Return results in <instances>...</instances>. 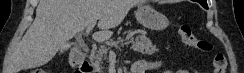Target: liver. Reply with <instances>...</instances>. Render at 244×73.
<instances>
[{
  "label": "liver",
  "mask_w": 244,
  "mask_h": 73,
  "mask_svg": "<svg viewBox=\"0 0 244 73\" xmlns=\"http://www.w3.org/2000/svg\"><path fill=\"white\" fill-rule=\"evenodd\" d=\"M140 0H40L36 18L17 45L8 66L19 73L48 63L58 52L70 48L68 41L98 21L97 41L109 39L129 10Z\"/></svg>",
  "instance_id": "6515ba94"
}]
</instances>
